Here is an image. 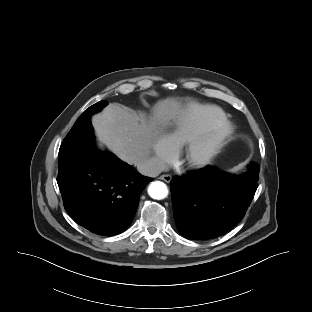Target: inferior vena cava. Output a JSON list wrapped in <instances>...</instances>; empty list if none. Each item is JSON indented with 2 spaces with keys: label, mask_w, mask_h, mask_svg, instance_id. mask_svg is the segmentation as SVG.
<instances>
[{
  "label": "inferior vena cava",
  "mask_w": 312,
  "mask_h": 312,
  "mask_svg": "<svg viewBox=\"0 0 312 312\" xmlns=\"http://www.w3.org/2000/svg\"><path fill=\"white\" fill-rule=\"evenodd\" d=\"M139 173L149 177H156L166 169V165L158 158H145L137 164Z\"/></svg>",
  "instance_id": "1"
}]
</instances>
